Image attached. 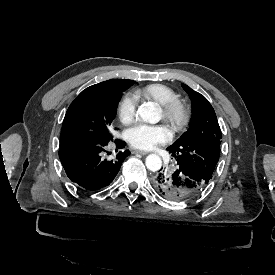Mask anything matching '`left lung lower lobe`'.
<instances>
[{"mask_svg":"<svg viewBox=\"0 0 275 275\" xmlns=\"http://www.w3.org/2000/svg\"><path fill=\"white\" fill-rule=\"evenodd\" d=\"M162 168L159 170L161 171ZM207 180L202 179L184 166L179 165L173 171H161L153 181L155 189L169 200H185L201 193Z\"/></svg>","mask_w":275,"mask_h":275,"instance_id":"0a47b994","label":"left lung lower lobe"}]
</instances>
